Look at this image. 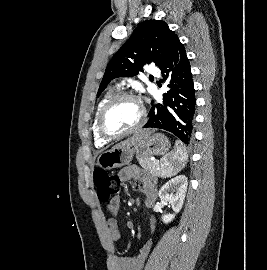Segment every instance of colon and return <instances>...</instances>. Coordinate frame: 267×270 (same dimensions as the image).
<instances>
[{"label": "colon", "mask_w": 267, "mask_h": 270, "mask_svg": "<svg viewBox=\"0 0 267 270\" xmlns=\"http://www.w3.org/2000/svg\"><path fill=\"white\" fill-rule=\"evenodd\" d=\"M93 180L96 194L100 202H109L119 193L120 179L118 176L98 169L94 172Z\"/></svg>", "instance_id": "1"}]
</instances>
